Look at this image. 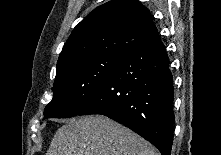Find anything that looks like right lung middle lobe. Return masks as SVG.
Returning <instances> with one entry per match:
<instances>
[{
  "mask_svg": "<svg viewBox=\"0 0 221 155\" xmlns=\"http://www.w3.org/2000/svg\"><path fill=\"white\" fill-rule=\"evenodd\" d=\"M123 57L124 54L103 53L78 59L57 71L53 99L45 107L44 119L78 115Z\"/></svg>",
  "mask_w": 221,
  "mask_h": 155,
  "instance_id": "1",
  "label": "right lung middle lobe"
}]
</instances>
